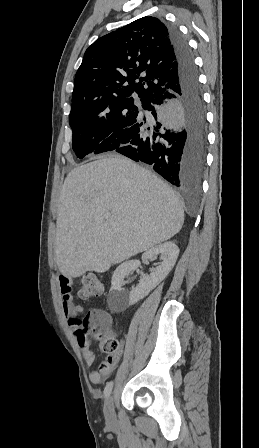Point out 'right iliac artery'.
<instances>
[{
	"mask_svg": "<svg viewBox=\"0 0 259 448\" xmlns=\"http://www.w3.org/2000/svg\"><path fill=\"white\" fill-rule=\"evenodd\" d=\"M112 387H113V382L110 381L106 384L105 389H104V397L108 398L109 395L111 394L112 391Z\"/></svg>",
	"mask_w": 259,
	"mask_h": 448,
	"instance_id": "1",
	"label": "right iliac artery"
}]
</instances>
